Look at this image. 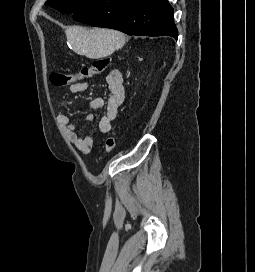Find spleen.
<instances>
[{
  "label": "spleen",
  "mask_w": 255,
  "mask_h": 272,
  "mask_svg": "<svg viewBox=\"0 0 255 272\" xmlns=\"http://www.w3.org/2000/svg\"><path fill=\"white\" fill-rule=\"evenodd\" d=\"M65 33L73 51L89 58L106 57L125 44L124 34L112 29L72 26Z\"/></svg>",
  "instance_id": "spleen-1"
}]
</instances>
